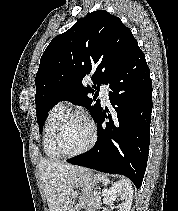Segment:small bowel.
Wrapping results in <instances>:
<instances>
[{"label": "small bowel", "instance_id": "1", "mask_svg": "<svg viewBox=\"0 0 178 211\" xmlns=\"http://www.w3.org/2000/svg\"><path fill=\"white\" fill-rule=\"evenodd\" d=\"M89 211H98V210L94 209V210H89Z\"/></svg>", "mask_w": 178, "mask_h": 211}]
</instances>
